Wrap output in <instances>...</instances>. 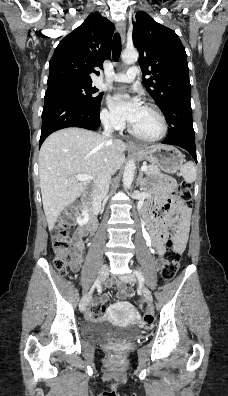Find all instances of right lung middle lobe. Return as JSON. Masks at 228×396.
<instances>
[{
    "label": "right lung middle lobe",
    "mask_w": 228,
    "mask_h": 396,
    "mask_svg": "<svg viewBox=\"0 0 228 396\" xmlns=\"http://www.w3.org/2000/svg\"><path fill=\"white\" fill-rule=\"evenodd\" d=\"M60 94L68 96L86 107L100 106L103 93L92 87V83L63 82L48 86L45 96Z\"/></svg>",
    "instance_id": "obj_1"
}]
</instances>
